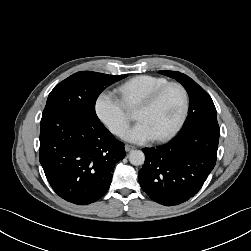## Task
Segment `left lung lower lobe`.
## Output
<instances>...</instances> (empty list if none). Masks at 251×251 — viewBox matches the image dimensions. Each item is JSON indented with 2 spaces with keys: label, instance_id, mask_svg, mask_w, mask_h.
I'll return each instance as SVG.
<instances>
[{
  "label": "left lung lower lobe",
  "instance_id": "obj_1",
  "mask_svg": "<svg viewBox=\"0 0 251 251\" xmlns=\"http://www.w3.org/2000/svg\"><path fill=\"white\" fill-rule=\"evenodd\" d=\"M219 135L218 125H199L179 132L168 144L144 148L138 173L143 191L165 206L189 200L215 166Z\"/></svg>",
  "mask_w": 251,
  "mask_h": 251
}]
</instances>
